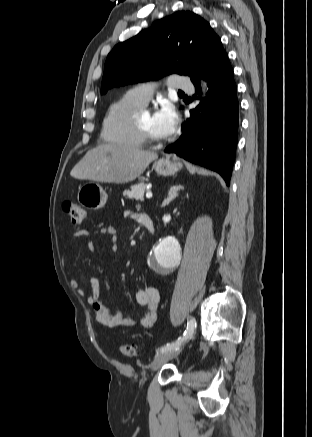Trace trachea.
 <instances>
[{
    "label": "trachea",
    "instance_id": "3493384b",
    "mask_svg": "<svg viewBox=\"0 0 312 437\" xmlns=\"http://www.w3.org/2000/svg\"><path fill=\"white\" fill-rule=\"evenodd\" d=\"M178 93H179V94H184V92H183V91H181V90H179V91H178Z\"/></svg>",
    "mask_w": 312,
    "mask_h": 437
}]
</instances>
